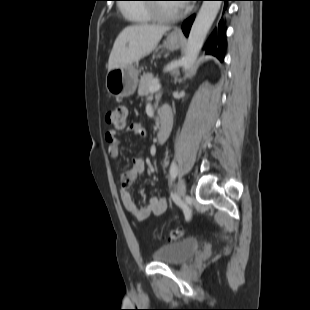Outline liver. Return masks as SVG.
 <instances>
[{
	"mask_svg": "<svg viewBox=\"0 0 310 310\" xmlns=\"http://www.w3.org/2000/svg\"><path fill=\"white\" fill-rule=\"evenodd\" d=\"M168 26L133 25L126 27L116 38L108 60V71L138 62L157 46Z\"/></svg>",
	"mask_w": 310,
	"mask_h": 310,
	"instance_id": "6515ba94",
	"label": "liver"
}]
</instances>
